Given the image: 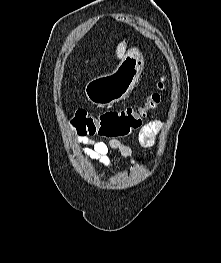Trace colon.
I'll use <instances>...</instances> for the list:
<instances>
[{
  "label": "colon",
  "instance_id": "5ec220e1",
  "mask_svg": "<svg viewBox=\"0 0 221 263\" xmlns=\"http://www.w3.org/2000/svg\"><path fill=\"white\" fill-rule=\"evenodd\" d=\"M162 89L163 82H160L158 90L152 91L143 103L136 107L108 110L99 115L77 110L71 124L76 133L83 137H126L140 128L147 113L157 107L161 101Z\"/></svg>",
  "mask_w": 221,
  "mask_h": 263
}]
</instances>
